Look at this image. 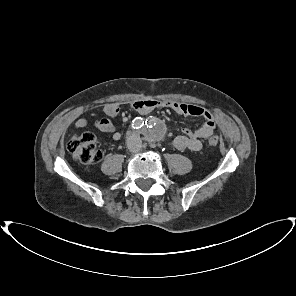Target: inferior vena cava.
I'll return each instance as SVG.
<instances>
[{
	"mask_svg": "<svg viewBox=\"0 0 296 296\" xmlns=\"http://www.w3.org/2000/svg\"><path fill=\"white\" fill-rule=\"evenodd\" d=\"M126 143H127V147L131 151L137 152L141 148L142 141L138 134L133 133L127 138Z\"/></svg>",
	"mask_w": 296,
	"mask_h": 296,
	"instance_id": "inferior-vena-cava-1",
	"label": "inferior vena cava"
}]
</instances>
